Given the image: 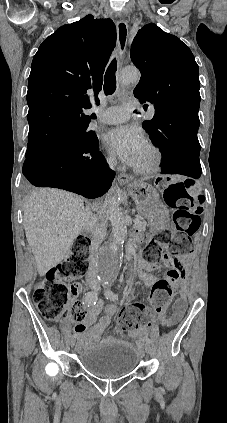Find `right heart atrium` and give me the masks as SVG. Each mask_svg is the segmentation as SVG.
I'll use <instances>...</instances> for the list:
<instances>
[{
  "instance_id": "obj_1",
  "label": "right heart atrium",
  "mask_w": 227,
  "mask_h": 423,
  "mask_svg": "<svg viewBox=\"0 0 227 423\" xmlns=\"http://www.w3.org/2000/svg\"><path fill=\"white\" fill-rule=\"evenodd\" d=\"M103 157H104V161H105L106 165L109 168L113 169V168L116 167L117 162H116L115 157L112 154H110V153H104L103 154Z\"/></svg>"
}]
</instances>
